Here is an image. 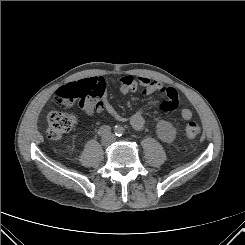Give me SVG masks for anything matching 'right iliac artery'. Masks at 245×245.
<instances>
[{
	"label": "right iliac artery",
	"mask_w": 245,
	"mask_h": 245,
	"mask_svg": "<svg viewBox=\"0 0 245 245\" xmlns=\"http://www.w3.org/2000/svg\"><path fill=\"white\" fill-rule=\"evenodd\" d=\"M98 134L102 137H107L111 134V128L110 126H101L98 130Z\"/></svg>",
	"instance_id": "1"
}]
</instances>
